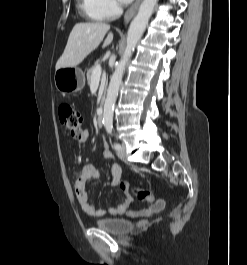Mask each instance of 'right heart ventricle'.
I'll list each match as a JSON object with an SVG mask.
<instances>
[{"instance_id":"obj_1","label":"right heart ventricle","mask_w":247,"mask_h":265,"mask_svg":"<svg viewBox=\"0 0 247 265\" xmlns=\"http://www.w3.org/2000/svg\"><path fill=\"white\" fill-rule=\"evenodd\" d=\"M82 2V9L84 10V12L86 13V15L93 19V20H106V19H102L96 15H94L93 13L90 12V10L88 9V1L87 0H80Z\"/></svg>"}]
</instances>
